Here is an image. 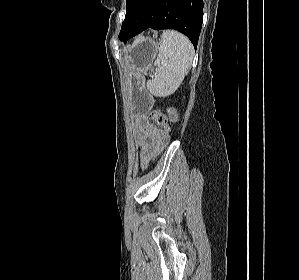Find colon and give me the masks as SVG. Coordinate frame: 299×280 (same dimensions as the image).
<instances>
[{
    "mask_svg": "<svg viewBox=\"0 0 299 280\" xmlns=\"http://www.w3.org/2000/svg\"><path fill=\"white\" fill-rule=\"evenodd\" d=\"M175 112L173 109H169L166 112L156 110L152 114V119L163 129L169 130L170 124L175 120Z\"/></svg>",
    "mask_w": 299,
    "mask_h": 280,
    "instance_id": "obj_1",
    "label": "colon"
}]
</instances>
